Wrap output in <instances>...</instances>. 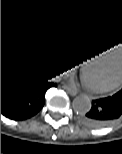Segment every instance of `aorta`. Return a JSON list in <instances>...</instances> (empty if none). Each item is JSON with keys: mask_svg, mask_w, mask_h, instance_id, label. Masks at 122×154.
<instances>
[{"mask_svg": "<svg viewBox=\"0 0 122 154\" xmlns=\"http://www.w3.org/2000/svg\"><path fill=\"white\" fill-rule=\"evenodd\" d=\"M91 106H92L91 100L85 94L76 96L72 103L73 110L77 114H81V115L89 112L91 109Z\"/></svg>", "mask_w": 122, "mask_h": 154, "instance_id": "1", "label": "aorta"}]
</instances>
